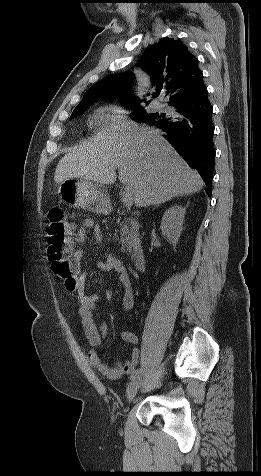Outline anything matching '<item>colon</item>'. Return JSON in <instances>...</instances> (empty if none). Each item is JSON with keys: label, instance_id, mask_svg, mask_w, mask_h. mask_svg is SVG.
I'll use <instances>...</instances> for the list:
<instances>
[{"label": "colon", "instance_id": "5ec220e1", "mask_svg": "<svg viewBox=\"0 0 261 476\" xmlns=\"http://www.w3.org/2000/svg\"><path fill=\"white\" fill-rule=\"evenodd\" d=\"M48 255L52 269L68 290H73L77 284L76 267L71 261V241L74 235V225L68 221L65 213L59 207H53L48 213Z\"/></svg>", "mask_w": 261, "mask_h": 476}]
</instances>
